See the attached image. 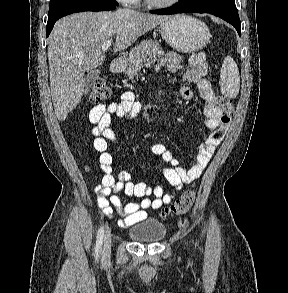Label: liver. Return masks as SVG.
<instances>
[{"label": "liver", "instance_id": "liver-1", "mask_svg": "<svg viewBox=\"0 0 288 293\" xmlns=\"http://www.w3.org/2000/svg\"><path fill=\"white\" fill-rule=\"evenodd\" d=\"M168 16L130 9L115 12H83L56 22L48 45L51 97L56 117L64 121L84 93L85 73L99 67L105 41L116 37L113 51L130 47Z\"/></svg>", "mask_w": 288, "mask_h": 293}]
</instances>
